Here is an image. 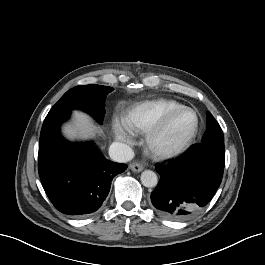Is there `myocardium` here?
<instances>
[{"mask_svg":"<svg viewBox=\"0 0 265 265\" xmlns=\"http://www.w3.org/2000/svg\"><path fill=\"white\" fill-rule=\"evenodd\" d=\"M190 111L195 116V124L190 134L183 140L176 143L162 142V136L165 133L171 119L177 114ZM199 116L197 112L188 106H181L169 112H166L161 118L146 132L145 146L147 150L158 159H166L184 152L194 141L199 130Z\"/></svg>","mask_w":265,"mask_h":265,"instance_id":"myocardium-1","label":"myocardium"}]
</instances>
